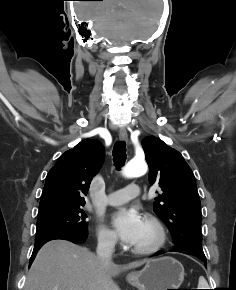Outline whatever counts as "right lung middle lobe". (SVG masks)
<instances>
[{
	"label": "right lung middle lobe",
	"mask_w": 236,
	"mask_h": 290,
	"mask_svg": "<svg viewBox=\"0 0 236 290\" xmlns=\"http://www.w3.org/2000/svg\"><path fill=\"white\" fill-rule=\"evenodd\" d=\"M81 206L62 205L40 209L35 240L58 233H87V216Z\"/></svg>",
	"instance_id": "obj_1"
}]
</instances>
